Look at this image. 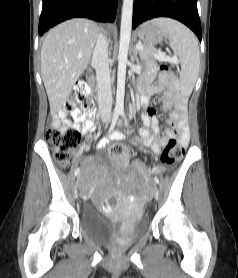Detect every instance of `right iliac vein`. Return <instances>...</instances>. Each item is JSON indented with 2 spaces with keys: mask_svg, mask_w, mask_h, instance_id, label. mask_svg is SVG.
Returning <instances> with one entry per match:
<instances>
[{
  "mask_svg": "<svg viewBox=\"0 0 238 278\" xmlns=\"http://www.w3.org/2000/svg\"><path fill=\"white\" fill-rule=\"evenodd\" d=\"M74 189V195H77V186H73Z\"/></svg>",
  "mask_w": 238,
  "mask_h": 278,
  "instance_id": "right-iliac-vein-1",
  "label": "right iliac vein"
}]
</instances>
